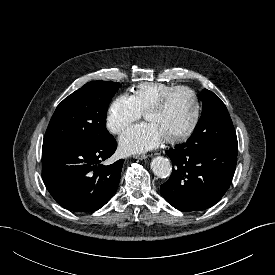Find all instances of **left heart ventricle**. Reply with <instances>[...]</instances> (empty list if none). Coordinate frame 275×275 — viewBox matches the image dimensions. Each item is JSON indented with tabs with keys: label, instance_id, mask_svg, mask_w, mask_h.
<instances>
[{
	"label": "left heart ventricle",
	"instance_id": "b2bd125f",
	"mask_svg": "<svg viewBox=\"0 0 275 275\" xmlns=\"http://www.w3.org/2000/svg\"><path fill=\"white\" fill-rule=\"evenodd\" d=\"M194 102L187 91L174 93L165 106L156 112H150L145 119L156 126L163 138L176 136L184 132L191 123Z\"/></svg>",
	"mask_w": 275,
	"mask_h": 275
}]
</instances>
